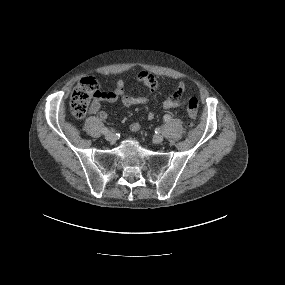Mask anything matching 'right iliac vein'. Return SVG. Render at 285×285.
<instances>
[{
  "label": "right iliac vein",
  "mask_w": 285,
  "mask_h": 285,
  "mask_svg": "<svg viewBox=\"0 0 285 285\" xmlns=\"http://www.w3.org/2000/svg\"><path fill=\"white\" fill-rule=\"evenodd\" d=\"M105 139L109 142H114L116 140V136L113 132H108L106 135H105Z\"/></svg>",
  "instance_id": "1"
}]
</instances>
